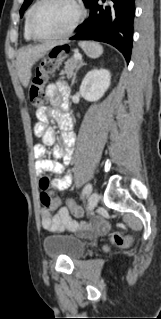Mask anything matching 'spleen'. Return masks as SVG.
I'll return each mask as SVG.
<instances>
[{
	"label": "spleen",
	"instance_id": "1",
	"mask_svg": "<svg viewBox=\"0 0 161 319\" xmlns=\"http://www.w3.org/2000/svg\"><path fill=\"white\" fill-rule=\"evenodd\" d=\"M79 45L90 58H98L103 53V47L98 43L85 41L80 42Z\"/></svg>",
	"mask_w": 161,
	"mask_h": 319
}]
</instances>
